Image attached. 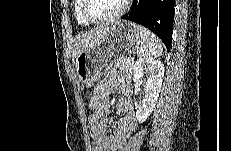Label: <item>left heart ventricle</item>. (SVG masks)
I'll use <instances>...</instances> for the list:
<instances>
[{
	"label": "left heart ventricle",
	"mask_w": 231,
	"mask_h": 151,
	"mask_svg": "<svg viewBox=\"0 0 231 151\" xmlns=\"http://www.w3.org/2000/svg\"><path fill=\"white\" fill-rule=\"evenodd\" d=\"M124 0H88L87 12L93 18H104L118 12Z\"/></svg>",
	"instance_id": "obj_1"
}]
</instances>
